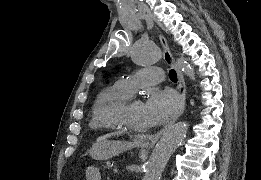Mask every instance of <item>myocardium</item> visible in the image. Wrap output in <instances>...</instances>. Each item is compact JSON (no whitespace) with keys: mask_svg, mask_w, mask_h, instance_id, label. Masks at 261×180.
Returning a JSON list of instances; mask_svg holds the SVG:
<instances>
[{"mask_svg":"<svg viewBox=\"0 0 261 180\" xmlns=\"http://www.w3.org/2000/svg\"><path fill=\"white\" fill-rule=\"evenodd\" d=\"M134 99H138V97L134 93L129 94L125 98L124 103L120 107L116 108V110L114 111V114H113V118H114L115 130H116L118 136L133 139V140H139V139H142L146 135L152 134L156 130V126L153 124V126L146 133L138 134V133L130 130L124 124V122L120 118V114H122L129 107L131 101Z\"/></svg>","mask_w":261,"mask_h":180,"instance_id":"1","label":"myocardium"}]
</instances>
